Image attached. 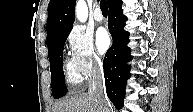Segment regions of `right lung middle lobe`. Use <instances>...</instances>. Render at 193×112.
<instances>
[{"label":"right lung middle lobe","instance_id":"right-lung-middle-lobe-1","mask_svg":"<svg viewBox=\"0 0 193 112\" xmlns=\"http://www.w3.org/2000/svg\"><path fill=\"white\" fill-rule=\"evenodd\" d=\"M71 29L59 34L50 45H48L52 94L54 98H61L67 93L65 77L63 72V49L64 43Z\"/></svg>","mask_w":193,"mask_h":112}]
</instances>
